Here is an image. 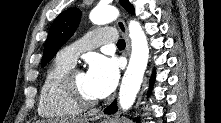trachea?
<instances>
[{
	"mask_svg": "<svg viewBox=\"0 0 221 123\" xmlns=\"http://www.w3.org/2000/svg\"><path fill=\"white\" fill-rule=\"evenodd\" d=\"M117 46H118V47H125V41H124V39H120V40L117 42Z\"/></svg>",
	"mask_w": 221,
	"mask_h": 123,
	"instance_id": "obj_1",
	"label": "trachea"
}]
</instances>
